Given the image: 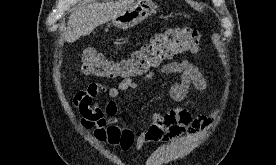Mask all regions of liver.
Listing matches in <instances>:
<instances>
[{
    "mask_svg": "<svg viewBox=\"0 0 276 165\" xmlns=\"http://www.w3.org/2000/svg\"><path fill=\"white\" fill-rule=\"evenodd\" d=\"M135 0H117L106 3L94 2L75 10L69 17L64 39L73 43L81 36H88L100 25L113 20L134 5Z\"/></svg>",
    "mask_w": 276,
    "mask_h": 165,
    "instance_id": "liver-1",
    "label": "liver"
}]
</instances>
